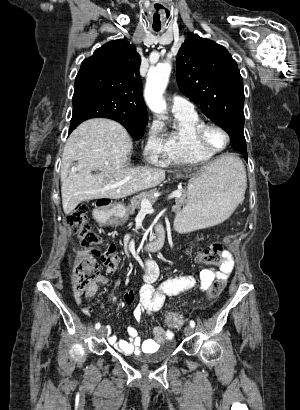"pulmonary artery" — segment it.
I'll use <instances>...</instances> for the list:
<instances>
[{
  "label": "pulmonary artery",
  "instance_id": "obj_1",
  "mask_svg": "<svg viewBox=\"0 0 300 410\" xmlns=\"http://www.w3.org/2000/svg\"><path fill=\"white\" fill-rule=\"evenodd\" d=\"M173 112H192L194 105L184 97L174 95L171 99Z\"/></svg>",
  "mask_w": 300,
  "mask_h": 410
}]
</instances>
